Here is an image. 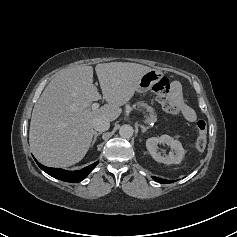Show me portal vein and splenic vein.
Listing matches in <instances>:
<instances>
[{"label":"portal vein and splenic vein","mask_w":237,"mask_h":237,"mask_svg":"<svg viewBox=\"0 0 237 237\" xmlns=\"http://www.w3.org/2000/svg\"><path fill=\"white\" fill-rule=\"evenodd\" d=\"M91 108H92V110H97L99 108V104L98 103H93Z\"/></svg>","instance_id":"portal-vein-and-splenic-vein-1"}]
</instances>
